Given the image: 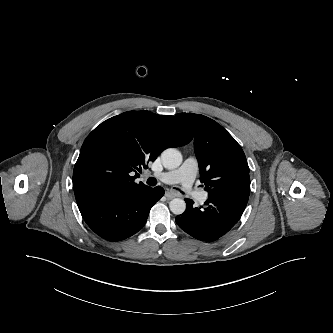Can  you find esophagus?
Returning <instances> with one entry per match:
<instances>
[{"label":"esophagus","mask_w":333,"mask_h":333,"mask_svg":"<svg viewBox=\"0 0 333 333\" xmlns=\"http://www.w3.org/2000/svg\"><path fill=\"white\" fill-rule=\"evenodd\" d=\"M165 196H166L167 199H172V198L177 196V193L171 192V191H166Z\"/></svg>","instance_id":"obj_1"}]
</instances>
